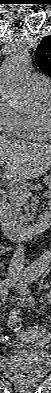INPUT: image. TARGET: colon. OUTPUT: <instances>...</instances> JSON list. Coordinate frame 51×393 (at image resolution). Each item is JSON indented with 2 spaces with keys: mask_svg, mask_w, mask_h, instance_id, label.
<instances>
[{
  "mask_svg": "<svg viewBox=\"0 0 51 393\" xmlns=\"http://www.w3.org/2000/svg\"><path fill=\"white\" fill-rule=\"evenodd\" d=\"M23 325V320L18 316V315H11L9 320H8V326L12 330H20ZM30 333L33 334H41L42 331L39 328H35V330H30Z\"/></svg>",
  "mask_w": 51,
  "mask_h": 393,
  "instance_id": "obj_1",
  "label": "colon"
}]
</instances>
